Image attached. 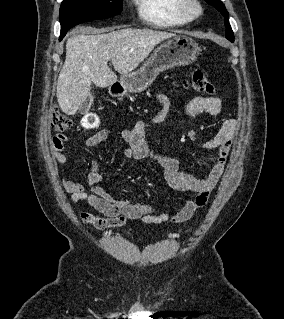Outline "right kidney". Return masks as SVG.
<instances>
[{
  "label": "right kidney",
  "mask_w": 284,
  "mask_h": 319,
  "mask_svg": "<svg viewBox=\"0 0 284 319\" xmlns=\"http://www.w3.org/2000/svg\"><path fill=\"white\" fill-rule=\"evenodd\" d=\"M99 123V118L94 114H87L81 120L82 127L86 129L98 127Z\"/></svg>",
  "instance_id": "ca27d5eb"
}]
</instances>
